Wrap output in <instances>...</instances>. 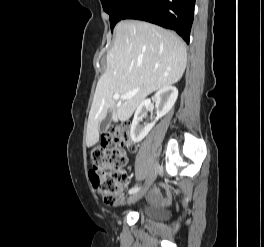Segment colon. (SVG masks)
<instances>
[{
    "instance_id": "1",
    "label": "colon",
    "mask_w": 264,
    "mask_h": 247,
    "mask_svg": "<svg viewBox=\"0 0 264 247\" xmlns=\"http://www.w3.org/2000/svg\"><path fill=\"white\" fill-rule=\"evenodd\" d=\"M131 149L128 128L114 125L102 133L100 145L91 150L90 180L108 205L122 203L123 187L128 181L127 152Z\"/></svg>"
}]
</instances>
